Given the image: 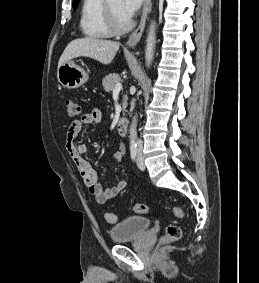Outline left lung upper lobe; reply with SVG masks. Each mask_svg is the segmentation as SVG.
<instances>
[{
    "label": "left lung upper lobe",
    "mask_w": 259,
    "mask_h": 283,
    "mask_svg": "<svg viewBox=\"0 0 259 283\" xmlns=\"http://www.w3.org/2000/svg\"><path fill=\"white\" fill-rule=\"evenodd\" d=\"M80 0H73V7L74 9L77 7Z\"/></svg>",
    "instance_id": "1"
}]
</instances>
